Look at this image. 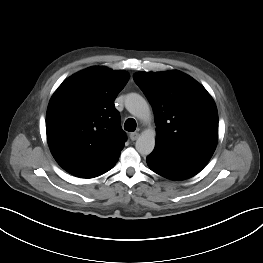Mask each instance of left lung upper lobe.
<instances>
[{"mask_svg": "<svg viewBox=\"0 0 263 263\" xmlns=\"http://www.w3.org/2000/svg\"><path fill=\"white\" fill-rule=\"evenodd\" d=\"M133 79L153 107L157 145L215 151L218 113L202 85L180 71L138 72Z\"/></svg>", "mask_w": 263, "mask_h": 263, "instance_id": "obj_1", "label": "left lung upper lobe"}]
</instances>
